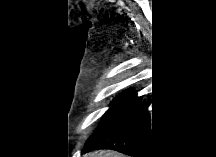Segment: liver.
Here are the masks:
<instances>
[{"label": "liver", "mask_w": 216, "mask_h": 157, "mask_svg": "<svg viewBox=\"0 0 216 157\" xmlns=\"http://www.w3.org/2000/svg\"><path fill=\"white\" fill-rule=\"evenodd\" d=\"M89 157H123L122 154L115 151H96L88 154Z\"/></svg>", "instance_id": "6515ba94"}]
</instances>
